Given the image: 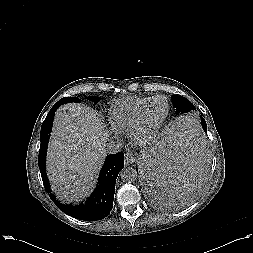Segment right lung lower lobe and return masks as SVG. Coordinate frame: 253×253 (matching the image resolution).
Instances as JSON below:
<instances>
[{"mask_svg":"<svg viewBox=\"0 0 253 253\" xmlns=\"http://www.w3.org/2000/svg\"><path fill=\"white\" fill-rule=\"evenodd\" d=\"M59 106L60 104L56 103L52 107L41 127V130L47 131L48 133L45 134V136L41 139L38 165L44 187L48 193H50L51 190L46 174V152L50 136L49 133L52 129L53 118ZM123 168V152L108 155L100 171L95 191L84 203H81L79 205L62 204L55 199V195L50 194L49 196L61 211L71 217L86 221L104 219L110 214V211L113 208L116 178Z\"/></svg>","mask_w":253,"mask_h":253,"instance_id":"obj_1","label":"right lung lower lobe"}]
</instances>
